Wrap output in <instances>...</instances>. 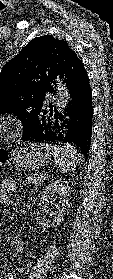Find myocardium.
<instances>
[{"mask_svg":"<svg viewBox=\"0 0 113 279\" xmlns=\"http://www.w3.org/2000/svg\"><path fill=\"white\" fill-rule=\"evenodd\" d=\"M20 124L13 115H3L0 117V136L15 131Z\"/></svg>","mask_w":113,"mask_h":279,"instance_id":"obj_1","label":"myocardium"}]
</instances>
